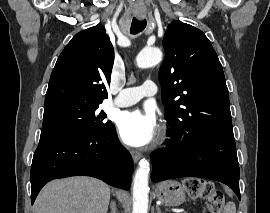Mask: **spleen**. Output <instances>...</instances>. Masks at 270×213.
Instances as JSON below:
<instances>
[{
    "label": "spleen",
    "mask_w": 270,
    "mask_h": 213,
    "mask_svg": "<svg viewBox=\"0 0 270 213\" xmlns=\"http://www.w3.org/2000/svg\"><path fill=\"white\" fill-rule=\"evenodd\" d=\"M224 213H236V206L233 202H229L226 204L224 208Z\"/></svg>",
    "instance_id": "3e777b00"
}]
</instances>
